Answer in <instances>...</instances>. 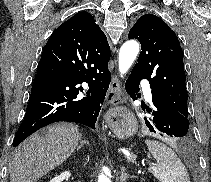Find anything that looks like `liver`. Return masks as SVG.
Masks as SVG:
<instances>
[{
    "label": "liver",
    "instance_id": "obj_1",
    "mask_svg": "<svg viewBox=\"0 0 211 182\" xmlns=\"http://www.w3.org/2000/svg\"><path fill=\"white\" fill-rule=\"evenodd\" d=\"M82 135L76 125L58 123L35 133L13 152L10 182H36L75 151Z\"/></svg>",
    "mask_w": 211,
    "mask_h": 182
}]
</instances>
